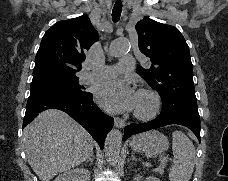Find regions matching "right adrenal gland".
<instances>
[{
    "mask_svg": "<svg viewBox=\"0 0 228 181\" xmlns=\"http://www.w3.org/2000/svg\"><path fill=\"white\" fill-rule=\"evenodd\" d=\"M93 155H94V153H93ZM93 155H91V157H89V159H87V161H85V163H90V165H93V159H92ZM85 163H83V165H85Z\"/></svg>",
    "mask_w": 228,
    "mask_h": 181,
    "instance_id": "obj_1",
    "label": "right adrenal gland"
}]
</instances>
